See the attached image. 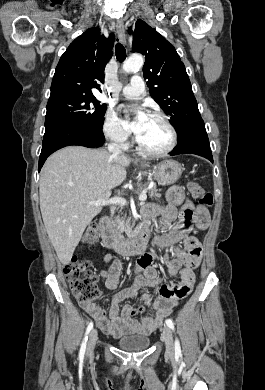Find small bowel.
Listing matches in <instances>:
<instances>
[{
	"label": "small bowel",
	"instance_id": "obj_1",
	"mask_svg": "<svg viewBox=\"0 0 265 390\" xmlns=\"http://www.w3.org/2000/svg\"><path fill=\"white\" fill-rule=\"evenodd\" d=\"M178 215L180 221L175 224ZM142 216L144 219L159 218L163 233L155 238V244L160 248L172 249V258L163 256L162 261L168 273L172 276L178 275L180 281L176 285H170L159 279L157 269L153 266L157 255L145 253L137 260V276L134 283L112 296L109 318L106 311L96 303L81 304L85 312L94 318L102 332L113 337L149 334L160 327L178 302L191 293L195 282L194 270L199 266L202 257L201 244L195 236L191 235V232L193 225L196 230L207 228L209 213L205 207L196 206L189 200L180 187L174 186L168 190L166 205L145 206ZM179 243L183 244V248L178 246ZM103 261L107 269L101 271L100 277L107 289L115 290L119 285L122 263L109 253L104 255ZM146 287L156 289V297L148 293L142 295L145 305L153 309V315L147 314L140 320H135L133 316L143 312L144 308L134 304H127L119 314V303L136 298L137 291Z\"/></svg>",
	"mask_w": 265,
	"mask_h": 390
}]
</instances>
